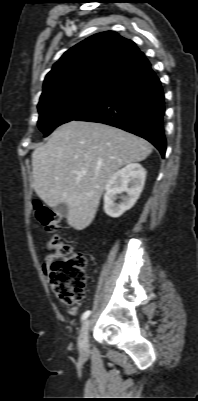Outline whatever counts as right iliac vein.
Masks as SVG:
<instances>
[{"instance_id": "63e3f726", "label": "right iliac vein", "mask_w": 198, "mask_h": 401, "mask_svg": "<svg viewBox=\"0 0 198 401\" xmlns=\"http://www.w3.org/2000/svg\"><path fill=\"white\" fill-rule=\"evenodd\" d=\"M90 328V320L86 319L81 326L80 333H79V350L82 355H86L89 349V342H88V332Z\"/></svg>"}]
</instances>
